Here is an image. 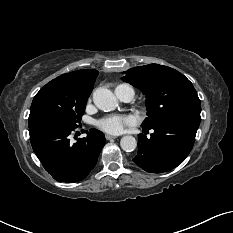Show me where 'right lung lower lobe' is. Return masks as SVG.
<instances>
[{
  "instance_id": "right-lung-lower-lobe-1",
  "label": "right lung lower lobe",
  "mask_w": 233,
  "mask_h": 233,
  "mask_svg": "<svg viewBox=\"0 0 233 233\" xmlns=\"http://www.w3.org/2000/svg\"><path fill=\"white\" fill-rule=\"evenodd\" d=\"M32 148L46 171L59 182L83 180L97 163L105 145L102 132L91 129L87 137L70 143L77 127L41 121L29 127Z\"/></svg>"
}]
</instances>
